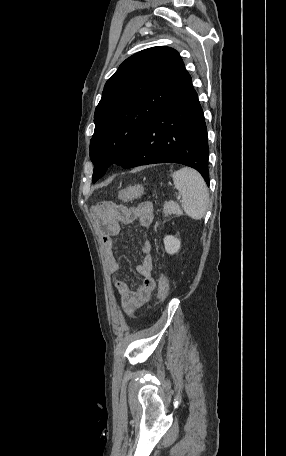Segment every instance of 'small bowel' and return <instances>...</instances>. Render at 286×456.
Listing matches in <instances>:
<instances>
[{
	"mask_svg": "<svg viewBox=\"0 0 286 456\" xmlns=\"http://www.w3.org/2000/svg\"><path fill=\"white\" fill-rule=\"evenodd\" d=\"M93 218L102 234L103 257L107 269L110 272H118L120 264L116 259L113 237L119 233V222H138L143 228H149L154 222V207L150 202H143L135 207H127L113 203L111 210L96 209ZM151 246L145 243V253L137 270L142 278L141 284L133 290L124 280L114 282V287L120 295L122 308L127 313H132L145 304L154 289L155 281L151 275L153 269V258L150 254Z\"/></svg>",
	"mask_w": 286,
	"mask_h": 456,
	"instance_id": "small-bowel-1",
	"label": "small bowel"
}]
</instances>
